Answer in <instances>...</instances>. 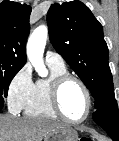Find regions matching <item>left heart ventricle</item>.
Returning a JSON list of instances; mask_svg holds the SVG:
<instances>
[{
    "label": "left heart ventricle",
    "mask_w": 119,
    "mask_h": 141,
    "mask_svg": "<svg viewBox=\"0 0 119 141\" xmlns=\"http://www.w3.org/2000/svg\"><path fill=\"white\" fill-rule=\"evenodd\" d=\"M61 108L71 119H80L86 112L87 101L82 88L73 81L68 82L60 95Z\"/></svg>",
    "instance_id": "left-heart-ventricle-1"
}]
</instances>
